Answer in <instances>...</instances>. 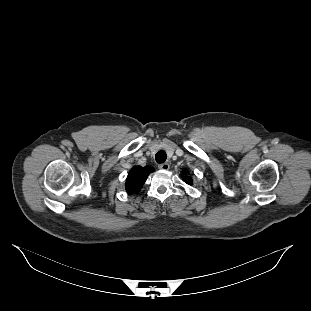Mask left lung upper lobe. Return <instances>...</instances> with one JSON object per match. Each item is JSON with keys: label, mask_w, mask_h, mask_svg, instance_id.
<instances>
[{"label": "left lung upper lobe", "mask_w": 311, "mask_h": 311, "mask_svg": "<svg viewBox=\"0 0 311 311\" xmlns=\"http://www.w3.org/2000/svg\"><path fill=\"white\" fill-rule=\"evenodd\" d=\"M184 181H185L187 184H192V179H191V178L185 177V178H184Z\"/></svg>", "instance_id": "1"}]
</instances>
